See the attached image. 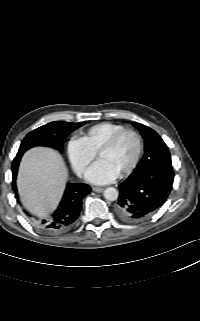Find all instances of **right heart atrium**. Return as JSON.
Here are the masks:
<instances>
[{"label":"right heart atrium","mask_w":200,"mask_h":321,"mask_svg":"<svg viewBox=\"0 0 200 321\" xmlns=\"http://www.w3.org/2000/svg\"><path fill=\"white\" fill-rule=\"evenodd\" d=\"M67 156L69 161L79 175H82L87 166L94 160L96 153L82 140L73 137L67 143Z\"/></svg>","instance_id":"obj_1"}]
</instances>
